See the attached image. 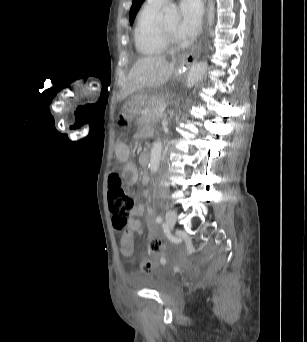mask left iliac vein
I'll return each mask as SVG.
<instances>
[{
    "mask_svg": "<svg viewBox=\"0 0 307 342\" xmlns=\"http://www.w3.org/2000/svg\"><path fill=\"white\" fill-rule=\"evenodd\" d=\"M165 220H166L167 226L169 228H173L176 221H177L176 213L174 211H171V210L167 211Z\"/></svg>",
    "mask_w": 307,
    "mask_h": 342,
    "instance_id": "4c4485c4",
    "label": "left iliac vein"
}]
</instances>
